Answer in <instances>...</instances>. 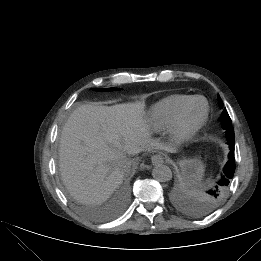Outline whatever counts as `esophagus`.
<instances>
[{
    "instance_id": "obj_1",
    "label": "esophagus",
    "mask_w": 261,
    "mask_h": 261,
    "mask_svg": "<svg viewBox=\"0 0 261 261\" xmlns=\"http://www.w3.org/2000/svg\"><path fill=\"white\" fill-rule=\"evenodd\" d=\"M151 162L153 165H159L164 162V157L160 154L153 155L151 157Z\"/></svg>"
}]
</instances>
